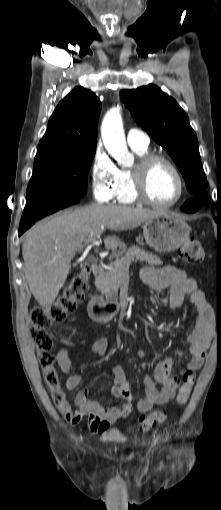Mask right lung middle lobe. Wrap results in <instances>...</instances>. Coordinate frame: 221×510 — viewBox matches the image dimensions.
<instances>
[{
	"mask_svg": "<svg viewBox=\"0 0 221 510\" xmlns=\"http://www.w3.org/2000/svg\"><path fill=\"white\" fill-rule=\"evenodd\" d=\"M96 147L35 158L26 204L47 210L78 203L87 192V176Z\"/></svg>",
	"mask_w": 221,
	"mask_h": 510,
	"instance_id": "obj_1",
	"label": "right lung middle lobe"
}]
</instances>
